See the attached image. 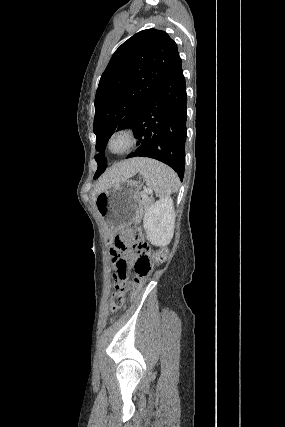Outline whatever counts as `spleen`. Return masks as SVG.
<instances>
[{
	"label": "spleen",
	"instance_id": "spleen-1",
	"mask_svg": "<svg viewBox=\"0 0 285 427\" xmlns=\"http://www.w3.org/2000/svg\"><path fill=\"white\" fill-rule=\"evenodd\" d=\"M139 171L147 186L154 190L159 198H168L179 189L180 182L177 174L161 162L146 159Z\"/></svg>",
	"mask_w": 285,
	"mask_h": 427
}]
</instances>
